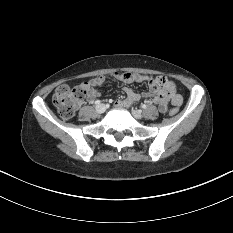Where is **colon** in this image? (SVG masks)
Listing matches in <instances>:
<instances>
[{
	"instance_id": "1",
	"label": "colon",
	"mask_w": 233,
	"mask_h": 233,
	"mask_svg": "<svg viewBox=\"0 0 233 233\" xmlns=\"http://www.w3.org/2000/svg\"><path fill=\"white\" fill-rule=\"evenodd\" d=\"M170 91V90H169ZM87 96L85 85L76 87L61 86L53 95V103L56 106L61 117L71 118ZM178 112V106L170 110L171 115Z\"/></svg>"
}]
</instances>
